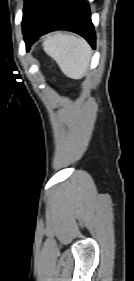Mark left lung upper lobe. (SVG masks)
<instances>
[{
	"instance_id": "obj_1",
	"label": "left lung upper lobe",
	"mask_w": 134,
	"mask_h": 281,
	"mask_svg": "<svg viewBox=\"0 0 134 281\" xmlns=\"http://www.w3.org/2000/svg\"><path fill=\"white\" fill-rule=\"evenodd\" d=\"M24 9H23V28L27 24L29 18L31 17L33 11L36 6L40 2V0H24Z\"/></svg>"
}]
</instances>
